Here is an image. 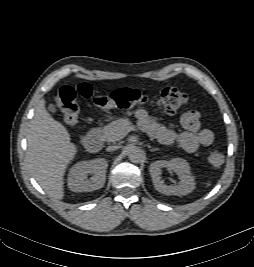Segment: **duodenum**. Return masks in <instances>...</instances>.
<instances>
[{"label":"duodenum","mask_w":254,"mask_h":267,"mask_svg":"<svg viewBox=\"0 0 254 267\" xmlns=\"http://www.w3.org/2000/svg\"><path fill=\"white\" fill-rule=\"evenodd\" d=\"M81 143L84 148L92 153L98 152L102 146V140L98 129L88 131L82 138Z\"/></svg>","instance_id":"obj_1"}]
</instances>
